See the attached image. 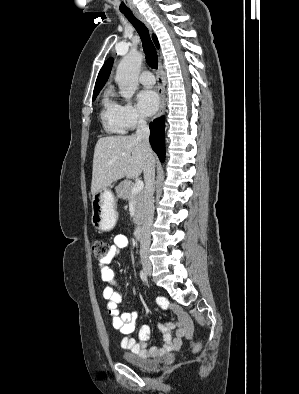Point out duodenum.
Returning <instances> with one entry per match:
<instances>
[{"mask_svg":"<svg viewBox=\"0 0 299 394\" xmlns=\"http://www.w3.org/2000/svg\"><path fill=\"white\" fill-rule=\"evenodd\" d=\"M141 232H142V225L139 224L135 227V231H134L135 238L139 239L141 237Z\"/></svg>","mask_w":299,"mask_h":394,"instance_id":"duodenum-1","label":"duodenum"}]
</instances>
